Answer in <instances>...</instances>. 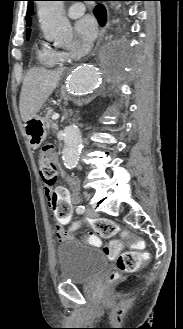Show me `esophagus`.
<instances>
[{
	"mask_svg": "<svg viewBox=\"0 0 183 329\" xmlns=\"http://www.w3.org/2000/svg\"><path fill=\"white\" fill-rule=\"evenodd\" d=\"M104 34H105V28H102L100 33H99V37H98V40H97V43H96V46L92 52V54L95 53V51L97 50V48L99 47L101 41L103 40V37H104Z\"/></svg>",
	"mask_w": 183,
	"mask_h": 329,
	"instance_id": "1",
	"label": "esophagus"
}]
</instances>
